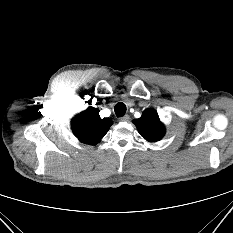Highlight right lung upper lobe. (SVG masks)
<instances>
[{"label":"right lung upper lobe","instance_id":"cb5924a9","mask_svg":"<svg viewBox=\"0 0 233 233\" xmlns=\"http://www.w3.org/2000/svg\"><path fill=\"white\" fill-rule=\"evenodd\" d=\"M112 120L101 119L97 108L89 107L72 119V130L75 136L83 143L95 145L108 132Z\"/></svg>","mask_w":233,"mask_h":233}]
</instances>
